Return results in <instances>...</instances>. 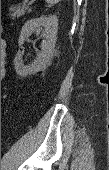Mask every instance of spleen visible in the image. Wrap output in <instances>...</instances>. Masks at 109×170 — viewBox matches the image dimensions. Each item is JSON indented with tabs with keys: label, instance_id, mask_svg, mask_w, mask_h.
<instances>
[{
	"label": "spleen",
	"instance_id": "obj_1",
	"mask_svg": "<svg viewBox=\"0 0 109 170\" xmlns=\"http://www.w3.org/2000/svg\"><path fill=\"white\" fill-rule=\"evenodd\" d=\"M48 4H56L61 0H45Z\"/></svg>",
	"mask_w": 109,
	"mask_h": 170
}]
</instances>
